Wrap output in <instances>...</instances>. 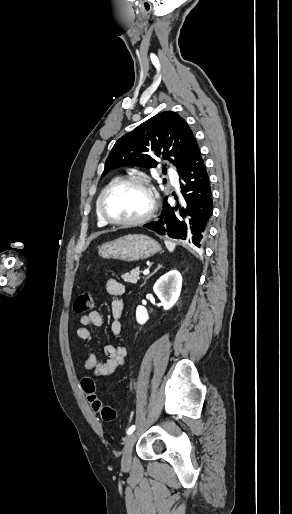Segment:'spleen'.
Returning <instances> with one entry per match:
<instances>
[{
  "label": "spleen",
  "instance_id": "spleen-1",
  "mask_svg": "<svg viewBox=\"0 0 292 514\" xmlns=\"http://www.w3.org/2000/svg\"><path fill=\"white\" fill-rule=\"evenodd\" d=\"M165 246H166L167 250H169V252H174V250L176 248V244H174V242H168V240H166Z\"/></svg>",
  "mask_w": 292,
  "mask_h": 514
}]
</instances>
